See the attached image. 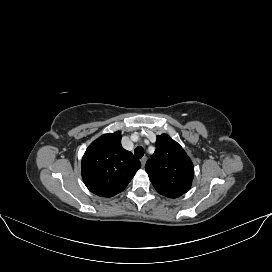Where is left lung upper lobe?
Instances as JSON below:
<instances>
[{
    "label": "left lung upper lobe",
    "mask_w": 272,
    "mask_h": 272,
    "mask_svg": "<svg viewBox=\"0 0 272 272\" xmlns=\"http://www.w3.org/2000/svg\"><path fill=\"white\" fill-rule=\"evenodd\" d=\"M145 170L153 186L163 196L177 198L189 191L194 177L192 161L169 135L156 138V150Z\"/></svg>",
    "instance_id": "5c2ea615"
}]
</instances>
